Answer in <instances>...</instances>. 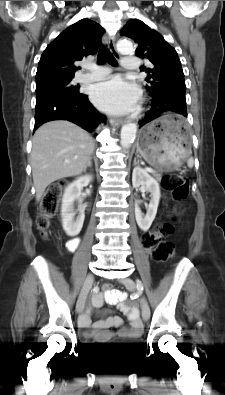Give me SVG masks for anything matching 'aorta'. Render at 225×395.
Returning <instances> with one entry per match:
<instances>
[{
	"mask_svg": "<svg viewBox=\"0 0 225 395\" xmlns=\"http://www.w3.org/2000/svg\"><path fill=\"white\" fill-rule=\"evenodd\" d=\"M117 50L122 54H133L135 49L132 42L127 39H122L117 42ZM137 133V125L128 122L121 128V146L129 148L133 143Z\"/></svg>",
	"mask_w": 225,
	"mask_h": 395,
	"instance_id": "1",
	"label": "aorta"
}]
</instances>
